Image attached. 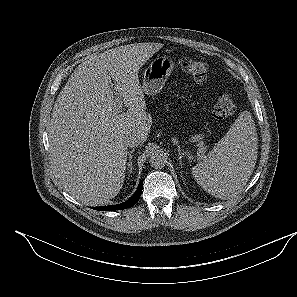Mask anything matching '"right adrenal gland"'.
I'll return each instance as SVG.
<instances>
[{"mask_svg": "<svg viewBox=\"0 0 297 297\" xmlns=\"http://www.w3.org/2000/svg\"><path fill=\"white\" fill-rule=\"evenodd\" d=\"M134 152V149H132L131 151L128 152V163H127V166H128V170L130 172H132V153Z\"/></svg>", "mask_w": 297, "mask_h": 297, "instance_id": "obj_1", "label": "right adrenal gland"}]
</instances>
